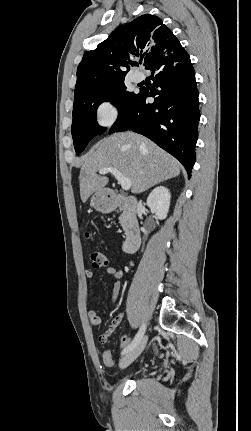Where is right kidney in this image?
Here are the masks:
<instances>
[{
    "mask_svg": "<svg viewBox=\"0 0 251 431\" xmlns=\"http://www.w3.org/2000/svg\"><path fill=\"white\" fill-rule=\"evenodd\" d=\"M170 198L171 194L166 187H157L148 196L147 206L160 220H164L169 211Z\"/></svg>",
    "mask_w": 251,
    "mask_h": 431,
    "instance_id": "1",
    "label": "right kidney"
}]
</instances>
